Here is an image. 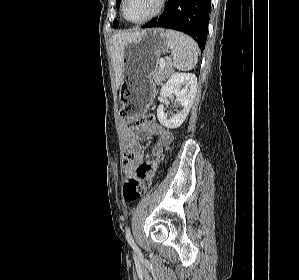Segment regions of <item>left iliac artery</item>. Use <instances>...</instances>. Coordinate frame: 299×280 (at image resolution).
<instances>
[{
  "label": "left iliac artery",
  "mask_w": 299,
  "mask_h": 280,
  "mask_svg": "<svg viewBox=\"0 0 299 280\" xmlns=\"http://www.w3.org/2000/svg\"><path fill=\"white\" fill-rule=\"evenodd\" d=\"M126 239L132 247H135V243H134V240H133L132 235L130 233V228L129 227L126 229Z\"/></svg>",
  "instance_id": "obj_1"
}]
</instances>
